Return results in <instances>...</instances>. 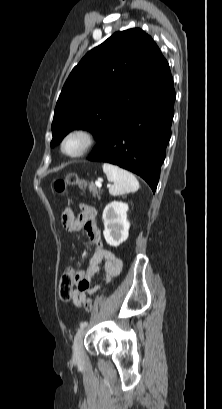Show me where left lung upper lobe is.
I'll return each instance as SVG.
<instances>
[{
    "label": "left lung upper lobe",
    "mask_w": 222,
    "mask_h": 409,
    "mask_svg": "<svg viewBox=\"0 0 222 409\" xmlns=\"http://www.w3.org/2000/svg\"><path fill=\"white\" fill-rule=\"evenodd\" d=\"M170 74L160 49L139 28L114 33L74 67L56 104L51 146L72 129L98 139L124 106Z\"/></svg>",
    "instance_id": "obj_1"
}]
</instances>
